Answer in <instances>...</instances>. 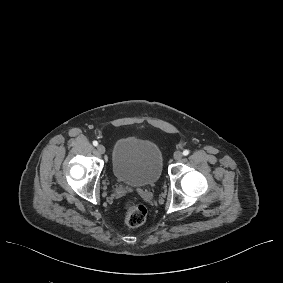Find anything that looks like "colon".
I'll return each instance as SVG.
<instances>
[{
  "label": "colon",
  "mask_w": 283,
  "mask_h": 283,
  "mask_svg": "<svg viewBox=\"0 0 283 283\" xmlns=\"http://www.w3.org/2000/svg\"><path fill=\"white\" fill-rule=\"evenodd\" d=\"M146 215L145 206L135 200H127L123 204L124 222L129 227L141 226L146 220Z\"/></svg>",
  "instance_id": "obj_1"
}]
</instances>
